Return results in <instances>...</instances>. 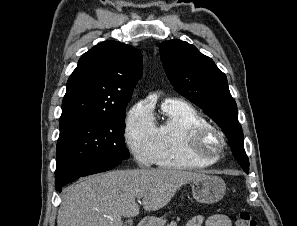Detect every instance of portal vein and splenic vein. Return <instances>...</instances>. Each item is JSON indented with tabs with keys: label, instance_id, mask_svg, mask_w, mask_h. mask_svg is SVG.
Returning a JSON list of instances; mask_svg holds the SVG:
<instances>
[{
	"label": "portal vein and splenic vein",
	"instance_id": "obj_1",
	"mask_svg": "<svg viewBox=\"0 0 297 226\" xmlns=\"http://www.w3.org/2000/svg\"><path fill=\"white\" fill-rule=\"evenodd\" d=\"M141 197H137V201L140 202Z\"/></svg>",
	"mask_w": 297,
	"mask_h": 226
}]
</instances>
